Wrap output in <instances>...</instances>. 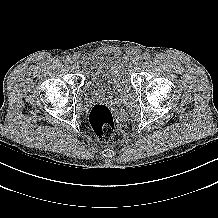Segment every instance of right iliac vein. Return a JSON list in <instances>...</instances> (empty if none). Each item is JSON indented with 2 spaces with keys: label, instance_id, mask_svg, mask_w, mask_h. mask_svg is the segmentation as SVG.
Here are the masks:
<instances>
[{
  "label": "right iliac vein",
  "instance_id": "1",
  "mask_svg": "<svg viewBox=\"0 0 218 218\" xmlns=\"http://www.w3.org/2000/svg\"><path fill=\"white\" fill-rule=\"evenodd\" d=\"M69 63H70L72 68H77L78 67V61L75 58H71L69 60Z\"/></svg>",
  "mask_w": 218,
  "mask_h": 218
}]
</instances>
